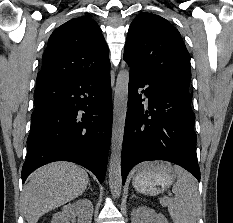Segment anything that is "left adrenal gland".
<instances>
[{
  "mask_svg": "<svg viewBox=\"0 0 233 223\" xmlns=\"http://www.w3.org/2000/svg\"><path fill=\"white\" fill-rule=\"evenodd\" d=\"M132 197H137V195H135V193H132Z\"/></svg>",
  "mask_w": 233,
  "mask_h": 223,
  "instance_id": "left-adrenal-gland-1",
  "label": "left adrenal gland"
}]
</instances>
